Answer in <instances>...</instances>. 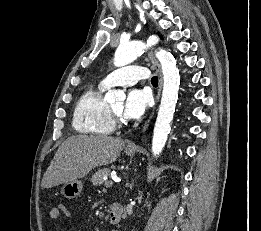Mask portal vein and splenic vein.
Here are the masks:
<instances>
[{
  "label": "portal vein and splenic vein",
  "mask_w": 261,
  "mask_h": 231,
  "mask_svg": "<svg viewBox=\"0 0 261 231\" xmlns=\"http://www.w3.org/2000/svg\"><path fill=\"white\" fill-rule=\"evenodd\" d=\"M106 181H105V184H104V186L105 187H111V186H113V184H114V181L113 180H107V178H104ZM120 180H118L117 182H119Z\"/></svg>",
  "instance_id": "1"
}]
</instances>
